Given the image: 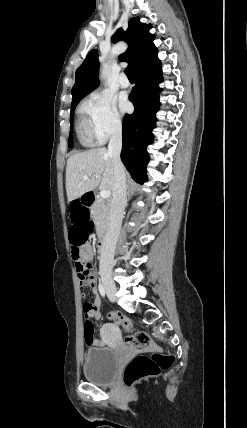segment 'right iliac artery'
Listing matches in <instances>:
<instances>
[{
  "label": "right iliac artery",
  "mask_w": 247,
  "mask_h": 428,
  "mask_svg": "<svg viewBox=\"0 0 247 428\" xmlns=\"http://www.w3.org/2000/svg\"><path fill=\"white\" fill-rule=\"evenodd\" d=\"M98 290H99L100 295L102 297H105V288L101 282H99Z\"/></svg>",
  "instance_id": "82829eb1"
}]
</instances>
